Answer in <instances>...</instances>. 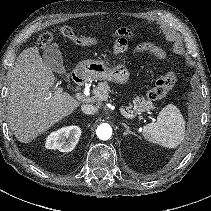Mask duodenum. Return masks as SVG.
<instances>
[{"instance_id":"duodenum-1","label":"duodenum","mask_w":211,"mask_h":211,"mask_svg":"<svg viewBox=\"0 0 211 211\" xmlns=\"http://www.w3.org/2000/svg\"><path fill=\"white\" fill-rule=\"evenodd\" d=\"M73 78H74L75 81L78 82V83H83V82H84L83 78H81V77L79 76V74H77V73L73 74Z\"/></svg>"}]
</instances>
